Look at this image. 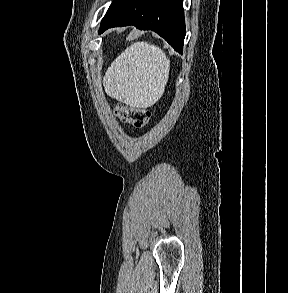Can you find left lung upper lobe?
I'll use <instances>...</instances> for the list:
<instances>
[{
    "label": "left lung upper lobe",
    "instance_id": "5c2ea615",
    "mask_svg": "<svg viewBox=\"0 0 288 293\" xmlns=\"http://www.w3.org/2000/svg\"><path fill=\"white\" fill-rule=\"evenodd\" d=\"M121 0H113V2H112V4L110 5V7H109V9H108V11H107V13H106V15H108L115 7H116V5L120 2ZM105 15V16H106ZM104 16V17H105Z\"/></svg>",
    "mask_w": 288,
    "mask_h": 293
}]
</instances>
